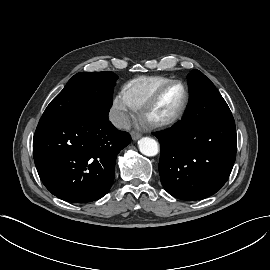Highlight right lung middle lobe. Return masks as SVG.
I'll list each match as a JSON object with an SVG mask.
<instances>
[{"label": "right lung middle lobe", "mask_w": 270, "mask_h": 270, "mask_svg": "<svg viewBox=\"0 0 270 270\" xmlns=\"http://www.w3.org/2000/svg\"><path fill=\"white\" fill-rule=\"evenodd\" d=\"M117 78L109 71L74 75L50 102L41 118L81 116L109 109Z\"/></svg>", "instance_id": "1"}]
</instances>
